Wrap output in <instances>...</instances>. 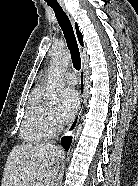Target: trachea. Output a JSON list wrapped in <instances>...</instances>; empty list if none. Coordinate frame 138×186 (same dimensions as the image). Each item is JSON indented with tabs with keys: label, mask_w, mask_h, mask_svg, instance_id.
<instances>
[{
	"label": "trachea",
	"mask_w": 138,
	"mask_h": 186,
	"mask_svg": "<svg viewBox=\"0 0 138 186\" xmlns=\"http://www.w3.org/2000/svg\"><path fill=\"white\" fill-rule=\"evenodd\" d=\"M47 5L50 6L54 12L55 16L57 18L58 24L61 27L64 37L66 39V43L68 46V49L71 52L72 57V63L76 70H80L81 68V58H80V52L77 45V41L75 38V34L71 25V22L66 15V13L63 11L59 3L56 2H47Z\"/></svg>",
	"instance_id": "3493384b"
}]
</instances>
